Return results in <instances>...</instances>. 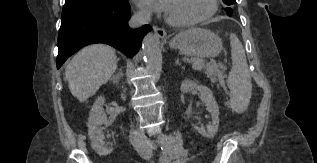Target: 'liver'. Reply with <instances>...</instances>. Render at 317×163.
<instances>
[{"label":"liver","mask_w":317,"mask_h":163,"mask_svg":"<svg viewBox=\"0 0 317 163\" xmlns=\"http://www.w3.org/2000/svg\"><path fill=\"white\" fill-rule=\"evenodd\" d=\"M117 68L115 50L104 44H93L80 50L65 69L71 94L85 102L105 84Z\"/></svg>","instance_id":"6515ba94"}]
</instances>
